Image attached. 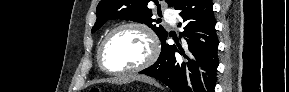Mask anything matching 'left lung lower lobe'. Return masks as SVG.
Wrapping results in <instances>:
<instances>
[{"mask_svg":"<svg viewBox=\"0 0 289 92\" xmlns=\"http://www.w3.org/2000/svg\"><path fill=\"white\" fill-rule=\"evenodd\" d=\"M183 20V40L161 41L156 63L139 73L154 77L174 92H214L218 67V38L211 0H178L173 6ZM182 23H179L181 27Z\"/></svg>","mask_w":289,"mask_h":92,"instance_id":"obj_1","label":"left lung lower lobe"}]
</instances>
